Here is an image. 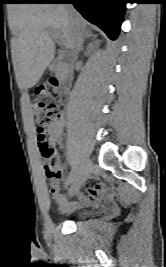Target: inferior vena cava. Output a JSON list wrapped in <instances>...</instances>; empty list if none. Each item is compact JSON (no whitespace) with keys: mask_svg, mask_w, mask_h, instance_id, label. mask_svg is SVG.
<instances>
[{"mask_svg":"<svg viewBox=\"0 0 166 267\" xmlns=\"http://www.w3.org/2000/svg\"><path fill=\"white\" fill-rule=\"evenodd\" d=\"M83 32L81 28L73 23L70 30L71 49L74 54H77L82 48Z\"/></svg>","mask_w":166,"mask_h":267,"instance_id":"inferior-vena-cava-1","label":"inferior vena cava"}]
</instances>
